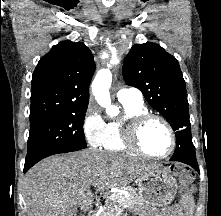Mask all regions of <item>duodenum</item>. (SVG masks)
I'll return each instance as SVG.
<instances>
[{"instance_id":"1","label":"duodenum","mask_w":221,"mask_h":216,"mask_svg":"<svg viewBox=\"0 0 221 216\" xmlns=\"http://www.w3.org/2000/svg\"><path fill=\"white\" fill-rule=\"evenodd\" d=\"M86 216H95V211H89V213Z\"/></svg>"}]
</instances>
